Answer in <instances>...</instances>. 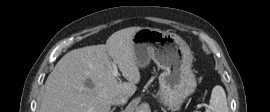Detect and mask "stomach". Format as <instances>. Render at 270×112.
<instances>
[{"label":"stomach","mask_w":270,"mask_h":112,"mask_svg":"<svg viewBox=\"0 0 270 112\" xmlns=\"http://www.w3.org/2000/svg\"><path fill=\"white\" fill-rule=\"evenodd\" d=\"M136 64L146 67L150 60L163 70L159 76L158 98L170 109L181 106L193 94L197 83L191 69L192 53L177 34L144 27L133 36Z\"/></svg>","instance_id":"1"}]
</instances>
